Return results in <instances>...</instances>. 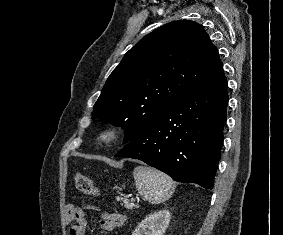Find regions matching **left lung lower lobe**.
Instances as JSON below:
<instances>
[{
  "label": "left lung lower lobe",
  "mask_w": 283,
  "mask_h": 235,
  "mask_svg": "<svg viewBox=\"0 0 283 235\" xmlns=\"http://www.w3.org/2000/svg\"><path fill=\"white\" fill-rule=\"evenodd\" d=\"M228 104L223 68L185 93L116 157L142 160L178 182L212 189Z\"/></svg>",
  "instance_id": "obj_1"
}]
</instances>
